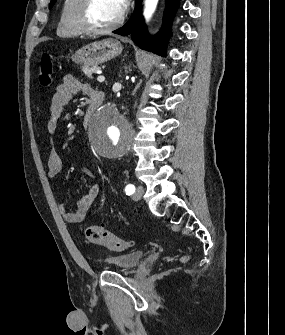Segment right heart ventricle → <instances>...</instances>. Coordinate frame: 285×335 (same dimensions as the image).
Listing matches in <instances>:
<instances>
[{
  "mask_svg": "<svg viewBox=\"0 0 285 335\" xmlns=\"http://www.w3.org/2000/svg\"><path fill=\"white\" fill-rule=\"evenodd\" d=\"M79 1H63L60 19L56 30L57 35L62 39H77L82 32L76 23V13Z\"/></svg>",
  "mask_w": 285,
  "mask_h": 335,
  "instance_id": "e07e8e85",
  "label": "right heart ventricle"
}]
</instances>
